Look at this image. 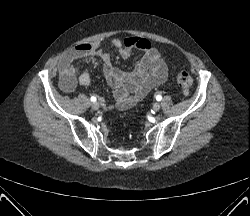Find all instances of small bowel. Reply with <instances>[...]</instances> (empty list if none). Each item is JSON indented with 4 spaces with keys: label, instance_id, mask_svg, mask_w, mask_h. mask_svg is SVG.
<instances>
[{
    "label": "small bowel",
    "instance_id": "1",
    "mask_svg": "<svg viewBox=\"0 0 250 216\" xmlns=\"http://www.w3.org/2000/svg\"><path fill=\"white\" fill-rule=\"evenodd\" d=\"M112 46L124 59L129 58L134 50L141 51L143 56L132 71L126 72L112 65L110 55L99 43L80 44L59 60V84L62 91L71 93L78 83L83 87L89 86L90 75L83 72L77 76L74 67L75 61L86 56H95L100 60L103 74L113 87L115 107L118 109L134 106L166 80L168 72L165 58L148 40L140 37L114 39Z\"/></svg>",
    "mask_w": 250,
    "mask_h": 216
}]
</instances>
